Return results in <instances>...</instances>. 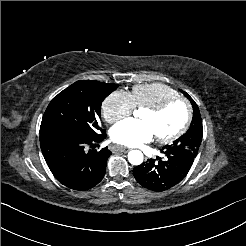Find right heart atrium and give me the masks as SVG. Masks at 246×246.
Instances as JSON below:
<instances>
[{
    "instance_id": "obj_1",
    "label": "right heart atrium",
    "mask_w": 246,
    "mask_h": 246,
    "mask_svg": "<svg viewBox=\"0 0 246 246\" xmlns=\"http://www.w3.org/2000/svg\"><path fill=\"white\" fill-rule=\"evenodd\" d=\"M134 108L132 95L124 90L111 92L102 103L103 117L108 123L129 117Z\"/></svg>"
}]
</instances>
